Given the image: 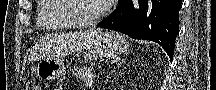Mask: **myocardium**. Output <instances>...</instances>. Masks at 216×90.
<instances>
[{
    "instance_id": "obj_1",
    "label": "myocardium",
    "mask_w": 216,
    "mask_h": 90,
    "mask_svg": "<svg viewBox=\"0 0 216 90\" xmlns=\"http://www.w3.org/2000/svg\"><path fill=\"white\" fill-rule=\"evenodd\" d=\"M74 1H82V0H64L62 2L61 14H63V18H67L69 23L73 28H94V26L100 21L104 20L108 13V5L105 1H101V7L98 14L89 20H81L74 16L75 8ZM92 1V0H89Z\"/></svg>"
}]
</instances>
